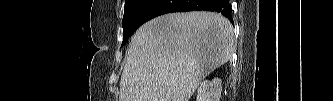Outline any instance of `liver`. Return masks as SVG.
<instances>
[{
	"label": "liver",
	"instance_id": "obj_1",
	"mask_svg": "<svg viewBox=\"0 0 333 101\" xmlns=\"http://www.w3.org/2000/svg\"><path fill=\"white\" fill-rule=\"evenodd\" d=\"M232 52L233 26L221 14L193 11L156 17L129 43L119 99L189 101Z\"/></svg>",
	"mask_w": 333,
	"mask_h": 101
}]
</instances>
